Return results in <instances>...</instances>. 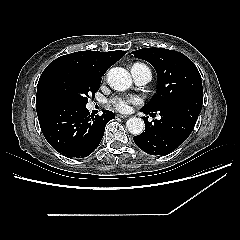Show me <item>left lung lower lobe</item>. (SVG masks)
<instances>
[{"instance_id": "left-lung-lower-lobe-1", "label": "left lung lower lobe", "mask_w": 240, "mask_h": 240, "mask_svg": "<svg viewBox=\"0 0 240 240\" xmlns=\"http://www.w3.org/2000/svg\"><path fill=\"white\" fill-rule=\"evenodd\" d=\"M203 96L177 100L159 110L161 119L145 122V131L134 136L135 144L151 155H166L181 145L191 134L201 112ZM145 114L152 111L142 108Z\"/></svg>"}]
</instances>
